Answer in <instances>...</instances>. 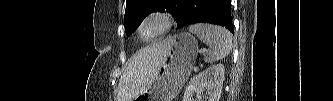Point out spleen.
<instances>
[{"instance_id":"3e777b00","label":"spleen","mask_w":333,"mask_h":101,"mask_svg":"<svg viewBox=\"0 0 333 101\" xmlns=\"http://www.w3.org/2000/svg\"><path fill=\"white\" fill-rule=\"evenodd\" d=\"M189 31L196 34L209 47L208 53L204 58L207 63H213L225 58L232 50V35L223 27L195 24L189 27Z\"/></svg>"}]
</instances>
